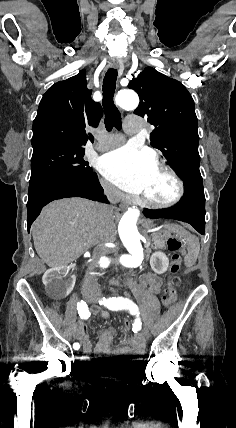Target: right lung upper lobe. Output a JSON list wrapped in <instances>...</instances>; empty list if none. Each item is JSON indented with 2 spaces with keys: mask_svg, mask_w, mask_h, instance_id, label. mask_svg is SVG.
<instances>
[{
  "mask_svg": "<svg viewBox=\"0 0 236 428\" xmlns=\"http://www.w3.org/2000/svg\"><path fill=\"white\" fill-rule=\"evenodd\" d=\"M103 115L100 103L91 99L85 71L52 85L40 101L33 122L32 146L86 142L85 127H97ZM91 140L93 137L89 134Z\"/></svg>",
  "mask_w": 236,
  "mask_h": 428,
  "instance_id": "cb5924a9",
  "label": "right lung upper lobe"
}]
</instances>
